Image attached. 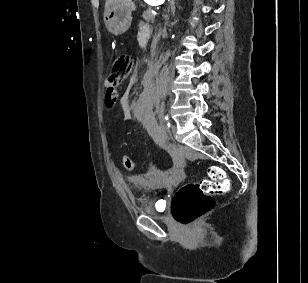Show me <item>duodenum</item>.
Here are the masks:
<instances>
[{
    "instance_id": "obj_1",
    "label": "duodenum",
    "mask_w": 308,
    "mask_h": 283,
    "mask_svg": "<svg viewBox=\"0 0 308 283\" xmlns=\"http://www.w3.org/2000/svg\"><path fill=\"white\" fill-rule=\"evenodd\" d=\"M148 36H149L148 30L146 29V30L142 33V36H141V41H142V43H146V42H147Z\"/></svg>"
}]
</instances>
